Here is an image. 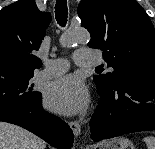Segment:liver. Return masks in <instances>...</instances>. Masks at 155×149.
Listing matches in <instances>:
<instances>
[{"label":"liver","mask_w":155,"mask_h":149,"mask_svg":"<svg viewBox=\"0 0 155 149\" xmlns=\"http://www.w3.org/2000/svg\"><path fill=\"white\" fill-rule=\"evenodd\" d=\"M46 143L29 131L0 122V149H45Z\"/></svg>","instance_id":"liver-1"}]
</instances>
